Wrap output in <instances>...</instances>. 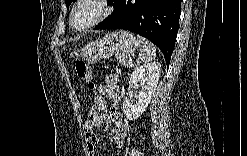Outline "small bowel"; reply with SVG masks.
Returning <instances> with one entry per match:
<instances>
[{
  "mask_svg": "<svg viewBox=\"0 0 247 156\" xmlns=\"http://www.w3.org/2000/svg\"><path fill=\"white\" fill-rule=\"evenodd\" d=\"M98 98H106L112 102V107L110 113H107L106 103H103L102 109L100 112H89L88 118L83 125L84 135L86 138L87 149L91 156L95 155V145L99 143V138L95 134L94 130L96 127L109 124L114 122V127L112 129V137L116 143L117 148L122 149L125 145L129 128L127 124L121 117L119 111V95H120V86L119 79L117 75H108L103 79L99 87ZM93 107V106H92ZM91 113H98V118H91Z\"/></svg>",
  "mask_w": 247,
  "mask_h": 156,
  "instance_id": "1",
  "label": "small bowel"
}]
</instances>
